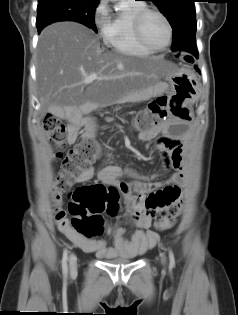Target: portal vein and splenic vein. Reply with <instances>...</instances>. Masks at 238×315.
Instances as JSON below:
<instances>
[{
	"mask_svg": "<svg viewBox=\"0 0 238 315\" xmlns=\"http://www.w3.org/2000/svg\"><path fill=\"white\" fill-rule=\"evenodd\" d=\"M96 79H98L97 74H96V73H91L90 75H88V76L85 77L84 82H85V83H90V82H93V81L96 80ZM101 79H103V78H101Z\"/></svg>",
	"mask_w": 238,
	"mask_h": 315,
	"instance_id": "obj_1",
	"label": "portal vein and splenic vein"
}]
</instances>
